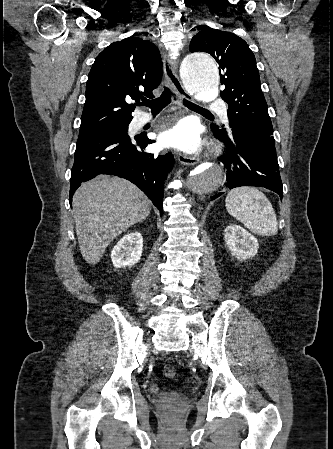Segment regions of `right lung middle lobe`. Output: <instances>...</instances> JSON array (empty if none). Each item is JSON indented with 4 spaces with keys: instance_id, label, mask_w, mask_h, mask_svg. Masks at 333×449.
<instances>
[{
    "instance_id": "1",
    "label": "right lung middle lobe",
    "mask_w": 333,
    "mask_h": 449,
    "mask_svg": "<svg viewBox=\"0 0 333 449\" xmlns=\"http://www.w3.org/2000/svg\"><path fill=\"white\" fill-rule=\"evenodd\" d=\"M129 123L130 122L109 123L88 128H81L79 131V137L108 133L127 134Z\"/></svg>"
}]
</instances>
